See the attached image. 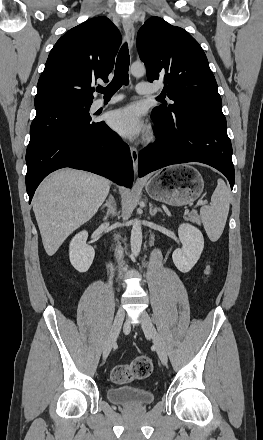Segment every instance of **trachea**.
<instances>
[{"label":"trachea","instance_id":"3493384b","mask_svg":"<svg viewBox=\"0 0 263 440\" xmlns=\"http://www.w3.org/2000/svg\"><path fill=\"white\" fill-rule=\"evenodd\" d=\"M129 50L126 43L121 47L116 64H115V74L113 80L106 87H98L96 90L99 93H103L105 97H110L115 94L122 85L129 84Z\"/></svg>","mask_w":263,"mask_h":440}]
</instances>
